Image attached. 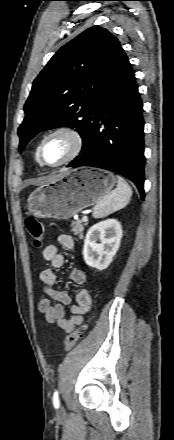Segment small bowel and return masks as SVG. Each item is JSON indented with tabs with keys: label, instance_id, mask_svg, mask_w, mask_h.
I'll list each match as a JSON object with an SVG mask.
<instances>
[{
	"label": "small bowel",
	"instance_id": "small-bowel-1",
	"mask_svg": "<svg viewBox=\"0 0 174 440\" xmlns=\"http://www.w3.org/2000/svg\"><path fill=\"white\" fill-rule=\"evenodd\" d=\"M58 240L66 249L75 248L73 238L67 234H61ZM42 257L48 267L40 272L44 296L38 304V309L47 322L57 325L64 332H71L75 326L83 322V315L91 308L90 293L87 289H81L76 296L77 304H72L69 293L64 290L63 284L53 270L63 267L64 256L55 245H48L43 249ZM86 279L85 272L76 267L70 271L68 276V280L77 285L84 284ZM65 306H70L68 317Z\"/></svg>",
	"mask_w": 174,
	"mask_h": 440
}]
</instances>
